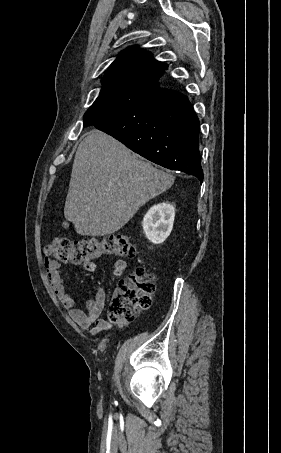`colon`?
I'll use <instances>...</instances> for the list:
<instances>
[{"label":"colon","instance_id":"colon-1","mask_svg":"<svg viewBox=\"0 0 281 453\" xmlns=\"http://www.w3.org/2000/svg\"><path fill=\"white\" fill-rule=\"evenodd\" d=\"M138 249L125 238H79L56 236L47 253L51 262H93L102 257H136ZM156 276L139 267L119 286L118 300L111 311L117 316L145 311L152 300Z\"/></svg>","mask_w":281,"mask_h":453}]
</instances>
